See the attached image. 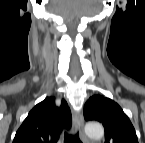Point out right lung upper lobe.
Returning <instances> with one entry per match:
<instances>
[{"label":"right lung upper lobe","instance_id":"cb5924a9","mask_svg":"<svg viewBox=\"0 0 145 143\" xmlns=\"http://www.w3.org/2000/svg\"><path fill=\"white\" fill-rule=\"evenodd\" d=\"M71 112L65 100L55 106V98L47 97L28 114L13 143H56L63 128H70Z\"/></svg>","mask_w":145,"mask_h":143}]
</instances>
